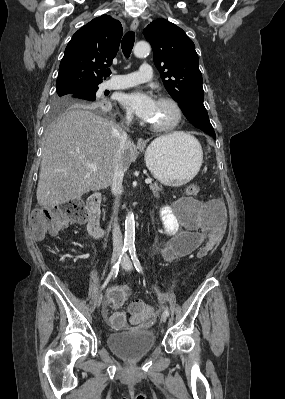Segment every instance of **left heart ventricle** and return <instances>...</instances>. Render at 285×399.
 <instances>
[{"mask_svg": "<svg viewBox=\"0 0 285 399\" xmlns=\"http://www.w3.org/2000/svg\"><path fill=\"white\" fill-rule=\"evenodd\" d=\"M175 111L171 105L165 102H157L155 114L150 123L155 125H165L175 119Z\"/></svg>", "mask_w": 285, "mask_h": 399, "instance_id": "b2bd125f", "label": "left heart ventricle"}]
</instances>
